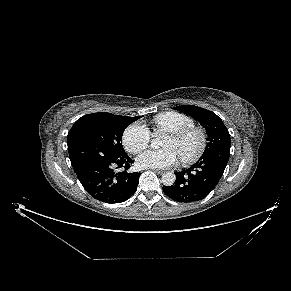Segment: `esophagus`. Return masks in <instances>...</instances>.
Returning a JSON list of instances; mask_svg holds the SVG:
<instances>
[{
    "mask_svg": "<svg viewBox=\"0 0 291 291\" xmlns=\"http://www.w3.org/2000/svg\"><path fill=\"white\" fill-rule=\"evenodd\" d=\"M152 171H154V172H156L158 174H162L163 173V171L162 170H159V169H152Z\"/></svg>",
    "mask_w": 291,
    "mask_h": 291,
    "instance_id": "obj_1",
    "label": "esophagus"
}]
</instances>
